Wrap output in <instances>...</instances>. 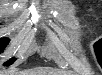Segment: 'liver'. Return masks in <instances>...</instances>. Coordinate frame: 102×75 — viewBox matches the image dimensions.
I'll use <instances>...</instances> for the list:
<instances>
[{
    "label": "liver",
    "mask_w": 102,
    "mask_h": 75,
    "mask_svg": "<svg viewBox=\"0 0 102 75\" xmlns=\"http://www.w3.org/2000/svg\"><path fill=\"white\" fill-rule=\"evenodd\" d=\"M6 75H59L60 72L49 67H35L24 71H9Z\"/></svg>",
    "instance_id": "liver-1"
}]
</instances>
